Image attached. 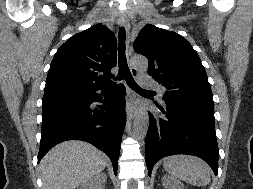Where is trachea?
<instances>
[{
	"instance_id": "obj_1",
	"label": "trachea",
	"mask_w": 253,
	"mask_h": 189,
	"mask_svg": "<svg viewBox=\"0 0 253 189\" xmlns=\"http://www.w3.org/2000/svg\"><path fill=\"white\" fill-rule=\"evenodd\" d=\"M125 40H126V31L124 28L119 29V54H118V66H119V73L116 80H122L123 78L126 80L127 85L135 90V91H144L149 92L145 89H142L133 79L131 72L128 68L126 55H125Z\"/></svg>"
}]
</instances>
